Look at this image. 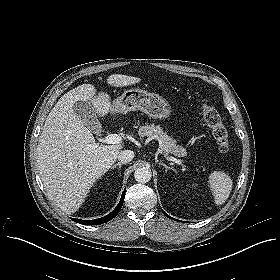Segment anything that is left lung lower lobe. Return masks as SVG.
Returning <instances> with one entry per match:
<instances>
[{
    "label": "left lung lower lobe",
    "mask_w": 280,
    "mask_h": 280,
    "mask_svg": "<svg viewBox=\"0 0 280 280\" xmlns=\"http://www.w3.org/2000/svg\"><path fill=\"white\" fill-rule=\"evenodd\" d=\"M163 213H164V215H165V216H167V217L171 218V217H170L169 215H167L164 211H163ZM171 219H172V218H171Z\"/></svg>",
    "instance_id": "1"
}]
</instances>
